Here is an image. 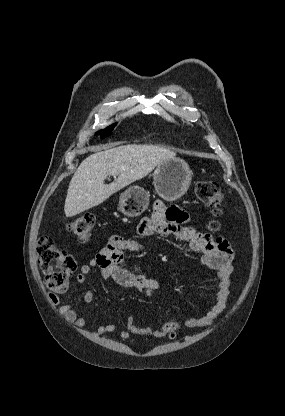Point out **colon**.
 Returning a JSON list of instances; mask_svg holds the SVG:
<instances>
[{"label":"colon","instance_id":"1","mask_svg":"<svg viewBox=\"0 0 285 416\" xmlns=\"http://www.w3.org/2000/svg\"><path fill=\"white\" fill-rule=\"evenodd\" d=\"M195 195L202 203L210 207L215 217L221 215L223 194L216 182H197ZM94 224V215L84 214L69 221L67 230L79 241L86 242L91 237ZM219 227L217 220L211 221L210 229L212 231H218ZM37 251L39 265L45 272L47 287L55 293L65 292L76 270L77 265L74 258L50 238H41L38 242ZM178 328L179 325L176 322L169 321L162 327L161 336L173 337Z\"/></svg>","mask_w":285,"mask_h":416}]
</instances>
